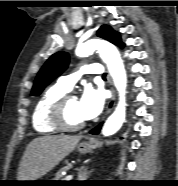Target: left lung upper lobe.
Returning <instances> with one entry per match:
<instances>
[{
	"instance_id": "5c2ea615",
	"label": "left lung upper lobe",
	"mask_w": 178,
	"mask_h": 186,
	"mask_svg": "<svg viewBox=\"0 0 178 186\" xmlns=\"http://www.w3.org/2000/svg\"><path fill=\"white\" fill-rule=\"evenodd\" d=\"M97 35L119 47H124L119 33L114 31L110 26L103 25L97 31ZM69 64V54L66 52H57L53 54L40 69L31 94L38 96L44 88L51 83L56 77L61 75Z\"/></svg>"
}]
</instances>
